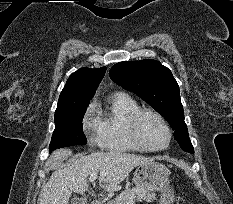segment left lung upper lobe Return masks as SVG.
I'll return each mask as SVG.
<instances>
[{"label": "left lung upper lobe", "instance_id": "obj_1", "mask_svg": "<svg viewBox=\"0 0 233 204\" xmlns=\"http://www.w3.org/2000/svg\"><path fill=\"white\" fill-rule=\"evenodd\" d=\"M110 78L144 99L169 122L182 150L194 153L184 122L179 86L171 71L156 60L124 61L115 64Z\"/></svg>", "mask_w": 233, "mask_h": 204}]
</instances>
